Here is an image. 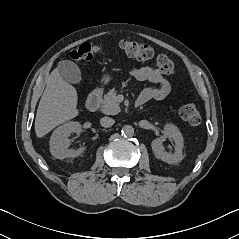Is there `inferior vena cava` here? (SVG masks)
<instances>
[{
	"mask_svg": "<svg viewBox=\"0 0 239 239\" xmlns=\"http://www.w3.org/2000/svg\"><path fill=\"white\" fill-rule=\"evenodd\" d=\"M114 123H115V120L112 119L111 117H102L100 119L101 126H103L105 128L111 127Z\"/></svg>",
	"mask_w": 239,
	"mask_h": 239,
	"instance_id": "602c4592",
	"label": "inferior vena cava"
}]
</instances>
